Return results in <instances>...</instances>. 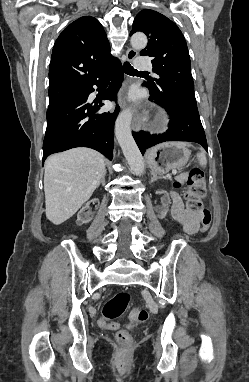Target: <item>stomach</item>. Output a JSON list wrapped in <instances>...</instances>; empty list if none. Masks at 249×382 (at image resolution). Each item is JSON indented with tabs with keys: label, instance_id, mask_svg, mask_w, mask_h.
<instances>
[{
	"label": "stomach",
	"instance_id": "stomach-1",
	"mask_svg": "<svg viewBox=\"0 0 249 382\" xmlns=\"http://www.w3.org/2000/svg\"><path fill=\"white\" fill-rule=\"evenodd\" d=\"M190 154L185 143L166 142L151 148L147 153V161L153 172L162 175L172 169L184 167Z\"/></svg>",
	"mask_w": 249,
	"mask_h": 382
}]
</instances>
